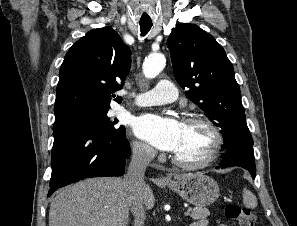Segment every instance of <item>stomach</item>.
<instances>
[{"mask_svg":"<svg viewBox=\"0 0 297 226\" xmlns=\"http://www.w3.org/2000/svg\"><path fill=\"white\" fill-rule=\"evenodd\" d=\"M167 185L184 200L196 206L210 205L220 195L217 182L203 173L190 174L183 179L168 182Z\"/></svg>","mask_w":297,"mask_h":226,"instance_id":"obj_1","label":"stomach"}]
</instances>
